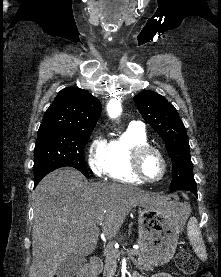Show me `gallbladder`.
Here are the masks:
<instances>
[{
	"label": "gallbladder",
	"mask_w": 221,
	"mask_h": 277,
	"mask_svg": "<svg viewBox=\"0 0 221 277\" xmlns=\"http://www.w3.org/2000/svg\"><path fill=\"white\" fill-rule=\"evenodd\" d=\"M86 259L83 256L71 255L59 266L57 277H74L84 267Z\"/></svg>",
	"instance_id": "1"
}]
</instances>
